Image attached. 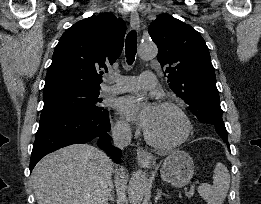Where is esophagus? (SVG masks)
Returning <instances> with one entry per match:
<instances>
[{"instance_id":"esophagus-1","label":"esophagus","mask_w":261,"mask_h":204,"mask_svg":"<svg viewBox=\"0 0 261 204\" xmlns=\"http://www.w3.org/2000/svg\"><path fill=\"white\" fill-rule=\"evenodd\" d=\"M139 24H140L139 14L136 10H134L130 15V25L133 29H138ZM137 161L139 165H141L142 167L150 168L155 164L156 158L151 152L145 149H138Z\"/></svg>"}]
</instances>
